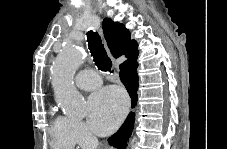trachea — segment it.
Listing matches in <instances>:
<instances>
[{"mask_svg": "<svg viewBox=\"0 0 227 149\" xmlns=\"http://www.w3.org/2000/svg\"><path fill=\"white\" fill-rule=\"evenodd\" d=\"M87 42L94 62L99 70L113 73L111 59L108 57L102 40L97 32H87Z\"/></svg>", "mask_w": 227, "mask_h": 149, "instance_id": "3493384b", "label": "trachea"}]
</instances>
